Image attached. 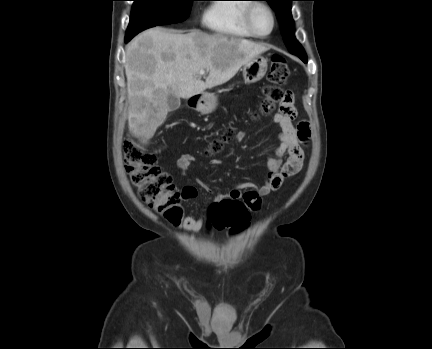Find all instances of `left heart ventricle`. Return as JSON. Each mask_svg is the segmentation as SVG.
<instances>
[{
	"label": "left heart ventricle",
	"mask_w": 432,
	"mask_h": 349,
	"mask_svg": "<svg viewBox=\"0 0 432 349\" xmlns=\"http://www.w3.org/2000/svg\"><path fill=\"white\" fill-rule=\"evenodd\" d=\"M252 22L255 30L260 34L268 33L272 27V18L269 12L263 7H258L254 10Z\"/></svg>",
	"instance_id": "obj_1"
}]
</instances>
